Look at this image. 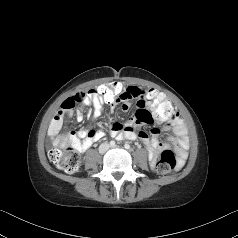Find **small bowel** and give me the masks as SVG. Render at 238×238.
<instances>
[{
	"instance_id": "obj_1",
	"label": "small bowel",
	"mask_w": 238,
	"mask_h": 238,
	"mask_svg": "<svg viewBox=\"0 0 238 238\" xmlns=\"http://www.w3.org/2000/svg\"><path fill=\"white\" fill-rule=\"evenodd\" d=\"M146 92L142 88L137 86H129L123 90L118 99V103H122L123 110L127 111L132 100L137 102L136 116L133 120L127 122L125 125L120 123H113L110 126V134L117 140L128 139L135 140L140 139L148 148L149 160L152 166L155 165L157 156L169 148L168 143H163L159 140L160 130L158 128H152L150 133L139 129L140 124H152L156 119H143L140 117L141 113L147 112L151 105L150 101L146 97ZM102 95L106 94H96V90L89 92L83 101H81V106L76 111V119L81 121L83 119V105H91L93 107L92 117L93 119L99 118L103 113V105L106 104L101 99ZM118 103H107L114 107ZM62 107V106H61ZM72 115L71 109H62L55 115L51 124L49 126V134L54 137L53 144L57 147L64 148L69 144H72L76 150L79 152H84L88 150L94 142L98 141L104 136L102 130L94 129H82L77 133H68L65 135H60V130L62 128L63 119L65 115ZM172 129L175 137L169 139L170 144L174 147L180 163L186 157V151L189 146V141L187 137V129L182 122V120L175 114L173 118L167 120L166 129Z\"/></svg>"
}]
</instances>
